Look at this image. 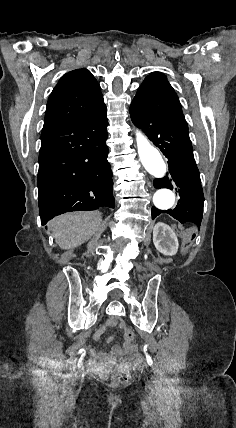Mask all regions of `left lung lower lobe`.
<instances>
[{"mask_svg":"<svg viewBox=\"0 0 236 428\" xmlns=\"http://www.w3.org/2000/svg\"><path fill=\"white\" fill-rule=\"evenodd\" d=\"M130 116L133 123L141 128L168 158L169 174L155 179L154 187L174 189L180 196L173 210L163 211L152 207V219L161 213H167L181 223H194L200 229L204 195L185 118L153 114L132 107Z\"/></svg>","mask_w":236,"mask_h":428,"instance_id":"0a47b994","label":"left lung lower lobe"}]
</instances>
